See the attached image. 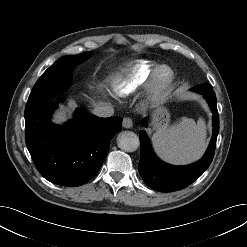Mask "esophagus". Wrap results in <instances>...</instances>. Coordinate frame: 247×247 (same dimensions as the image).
I'll return each instance as SVG.
<instances>
[{
  "mask_svg": "<svg viewBox=\"0 0 247 247\" xmlns=\"http://www.w3.org/2000/svg\"><path fill=\"white\" fill-rule=\"evenodd\" d=\"M133 126V121H132V119L131 118H129V117H125L124 119H123V127L124 128H131Z\"/></svg>",
  "mask_w": 247,
  "mask_h": 247,
  "instance_id": "obj_1",
  "label": "esophagus"
}]
</instances>
